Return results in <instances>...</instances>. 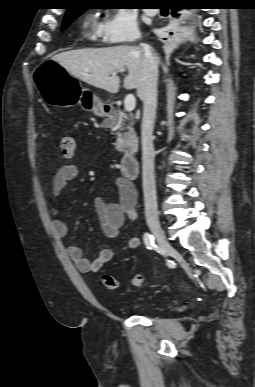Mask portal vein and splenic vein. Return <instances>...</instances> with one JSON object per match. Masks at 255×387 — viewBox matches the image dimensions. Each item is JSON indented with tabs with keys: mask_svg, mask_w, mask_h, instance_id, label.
I'll return each mask as SVG.
<instances>
[{
	"mask_svg": "<svg viewBox=\"0 0 255 387\" xmlns=\"http://www.w3.org/2000/svg\"><path fill=\"white\" fill-rule=\"evenodd\" d=\"M115 75V73H113ZM136 106V99L134 95L128 94L124 100V108L127 112H132Z\"/></svg>",
	"mask_w": 255,
	"mask_h": 387,
	"instance_id": "obj_1",
	"label": "portal vein and splenic vein"
}]
</instances>
